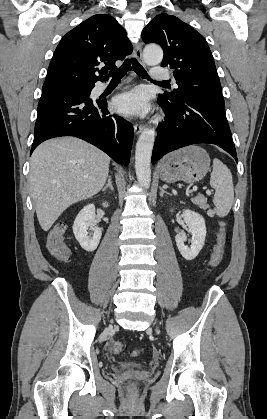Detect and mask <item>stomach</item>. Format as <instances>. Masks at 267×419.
I'll return each instance as SVG.
<instances>
[{"instance_id": "obj_1", "label": "stomach", "mask_w": 267, "mask_h": 419, "mask_svg": "<svg viewBox=\"0 0 267 419\" xmlns=\"http://www.w3.org/2000/svg\"><path fill=\"white\" fill-rule=\"evenodd\" d=\"M209 168L210 157L207 151L192 145L166 156L160 164V177L167 183H194L201 180Z\"/></svg>"}]
</instances>
